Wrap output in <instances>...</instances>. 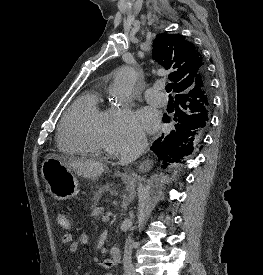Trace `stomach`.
<instances>
[{
	"mask_svg": "<svg viewBox=\"0 0 263 275\" xmlns=\"http://www.w3.org/2000/svg\"><path fill=\"white\" fill-rule=\"evenodd\" d=\"M41 173L54 199L67 200L79 193L75 174L65 166L62 160L47 156L42 163Z\"/></svg>",
	"mask_w": 263,
	"mask_h": 275,
	"instance_id": "1",
	"label": "stomach"
}]
</instances>
